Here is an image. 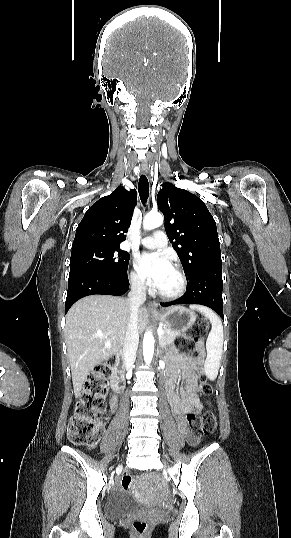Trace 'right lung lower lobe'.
Instances as JSON below:
<instances>
[{
    "label": "right lung lower lobe",
    "mask_w": 291,
    "mask_h": 538,
    "mask_svg": "<svg viewBox=\"0 0 291 538\" xmlns=\"http://www.w3.org/2000/svg\"><path fill=\"white\" fill-rule=\"evenodd\" d=\"M129 289L127 272L109 274L98 271H83L69 275L65 311L79 299L88 295L106 294L122 296Z\"/></svg>",
    "instance_id": "1"
}]
</instances>
